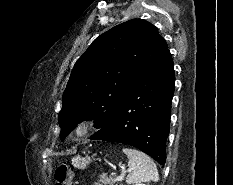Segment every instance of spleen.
Wrapping results in <instances>:
<instances>
[{
  "label": "spleen",
  "mask_w": 233,
  "mask_h": 185,
  "mask_svg": "<svg viewBox=\"0 0 233 185\" xmlns=\"http://www.w3.org/2000/svg\"><path fill=\"white\" fill-rule=\"evenodd\" d=\"M123 153L127 155L128 166L132 170L126 179L128 184L141 185L142 182L159 180L156 164L148 155L132 148H123Z\"/></svg>",
  "instance_id": "3e777b00"
}]
</instances>
